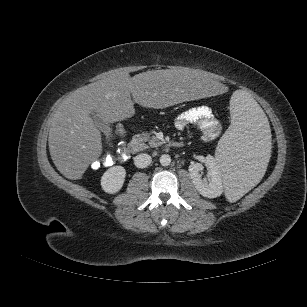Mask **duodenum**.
<instances>
[{
	"instance_id": "obj_1",
	"label": "duodenum",
	"mask_w": 307,
	"mask_h": 307,
	"mask_svg": "<svg viewBox=\"0 0 307 307\" xmlns=\"http://www.w3.org/2000/svg\"><path fill=\"white\" fill-rule=\"evenodd\" d=\"M128 143H129L128 155H131V154H134V153L138 152V150H139V143L136 140H131ZM169 146H171L173 148H181L183 146V144L181 142H179V141H171L169 143Z\"/></svg>"
}]
</instances>
